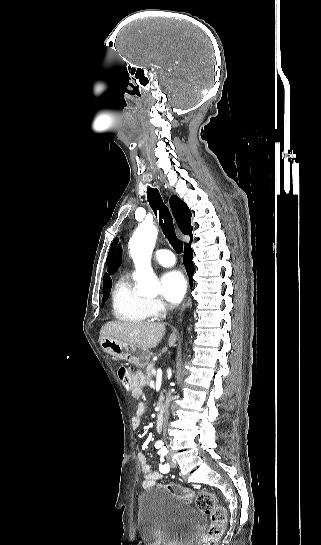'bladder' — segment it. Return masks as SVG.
Masks as SVG:
<instances>
[{"label":"bladder","mask_w":321,"mask_h":545,"mask_svg":"<svg viewBox=\"0 0 321 545\" xmlns=\"http://www.w3.org/2000/svg\"><path fill=\"white\" fill-rule=\"evenodd\" d=\"M206 524L205 514L165 488L144 491L138 500V534L147 545H191Z\"/></svg>","instance_id":"1"}]
</instances>
